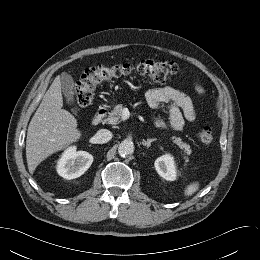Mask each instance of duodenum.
<instances>
[{
	"mask_svg": "<svg viewBox=\"0 0 260 260\" xmlns=\"http://www.w3.org/2000/svg\"><path fill=\"white\" fill-rule=\"evenodd\" d=\"M107 114V110L105 107H100L97 112L93 115L91 119V125L96 126L101 123V121L105 118Z\"/></svg>",
	"mask_w": 260,
	"mask_h": 260,
	"instance_id": "duodenum-1",
	"label": "duodenum"
}]
</instances>
